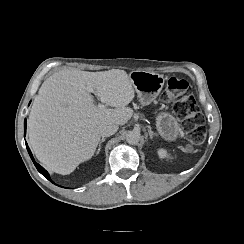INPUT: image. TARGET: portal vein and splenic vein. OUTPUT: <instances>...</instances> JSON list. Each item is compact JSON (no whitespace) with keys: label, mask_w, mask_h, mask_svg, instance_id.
Listing matches in <instances>:
<instances>
[{"label":"portal vein and splenic vein","mask_w":244,"mask_h":244,"mask_svg":"<svg viewBox=\"0 0 244 244\" xmlns=\"http://www.w3.org/2000/svg\"><path fill=\"white\" fill-rule=\"evenodd\" d=\"M88 91L93 93V89L92 88H88ZM98 105H99V107H104L105 106L102 102H100Z\"/></svg>","instance_id":"portal-vein-and-splenic-vein-1"}]
</instances>
